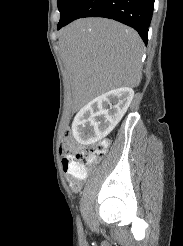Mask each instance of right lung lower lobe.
I'll use <instances>...</instances> for the list:
<instances>
[{
    "mask_svg": "<svg viewBox=\"0 0 183 246\" xmlns=\"http://www.w3.org/2000/svg\"><path fill=\"white\" fill-rule=\"evenodd\" d=\"M154 0H79L69 18L58 24V30L75 19L105 17L134 28L147 44Z\"/></svg>",
    "mask_w": 183,
    "mask_h": 246,
    "instance_id": "98d812e1",
    "label": "right lung lower lobe"
}]
</instances>
